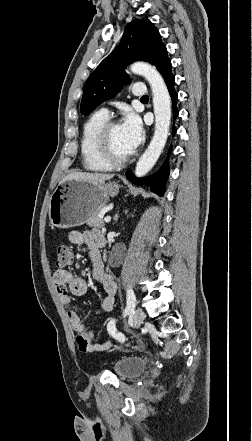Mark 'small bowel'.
<instances>
[{
	"instance_id": "c3829d8e",
	"label": "small bowel",
	"mask_w": 252,
	"mask_h": 441,
	"mask_svg": "<svg viewBox=\"0 0 252 441\" xmlns=\"http://www.w3.org/2000/svg\"><path fill=\"white\" fill-rule=\"evenodd\" d=\"M68 239L72 244H85L89 249L92 261V276L100 285L104 297L101 302V312H110L114 306V296L117 291V284L105 268L101 259L99 248L103 242L101 235L92 229L85 231H71ZM54 282L61 303L67 308V317L75 331L84 330L86 327L81 316V309L71 306L70 294L82 296L87 291V284L82 277L75 275L71 270L58 268L54 273ZM110 343L90 344L88 352L106 350Z\"/></svg>"
}]
</instances>
